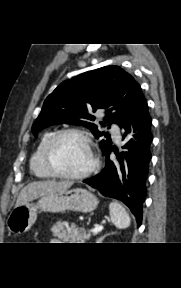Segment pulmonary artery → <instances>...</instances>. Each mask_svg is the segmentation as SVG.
I'll use <instances>...</instances> for the list:
<instances>
[{"instance_id": "obj_1", "label": "pulmonary artery", "mask_w": 181, "mask_h": 288, "mask_svg": "<svg viewBox=\"0 0 181 288\" xmlns=\"http://www.w3.org/2000/svg\"><path fill=\"white\" fill-rule=\"evenodd\" d=\"M113 133L115 134L116 140L119 141L121 139L119 128L118 127H113Z\"/></svg>"}]
</instances>
